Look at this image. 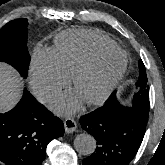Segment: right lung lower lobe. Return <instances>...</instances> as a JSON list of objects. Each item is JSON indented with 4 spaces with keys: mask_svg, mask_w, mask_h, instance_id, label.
Listing matches in <instances>:
<instances>
[{
    "mask_svg": "<svg viewBox=\"0 0 165 165\" xmlns=\"http://www.w3.org/2000/svg\"><path fill=\"white\" fill-rule=\"evenodd\" d=\"M63 134V122L24 89L16 107L0 114V161L41 165L48 143Z\"/></svg>",
    "mask_w": 165,
    "mask_h": 165,
    "instance_id": "obj_1",
    "label": "right lung lower lobe"
}]
</instances>
